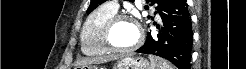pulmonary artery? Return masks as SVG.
I'll use <instances>...</instances> for the list:
<instances>
[{
    "label": "pulmonary artery",
    "instance_id": "pulmonary-artery-1",
    "mask_svg": "<svg viewBox=\"0 0 246 69\" xmlns=\"http://www.w3.org/2000/svg\"><path fill=\"white\" fill-rule=\"evenodd\" d=\"M108 5H109L110 7H112L113 9H115V10H118V8H119L118 3L115 2V1H110V2H108Z\"/></svg>",
    "mask_w": 246,
    "mask_h": 69
}]
</instances>
